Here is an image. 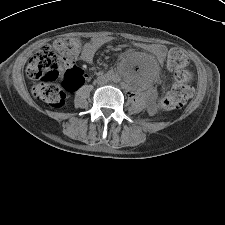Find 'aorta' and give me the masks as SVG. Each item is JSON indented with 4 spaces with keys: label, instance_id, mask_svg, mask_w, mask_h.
I'll list each match as a JSON object with an SVG mask.
<instances>
[{
    "label": "aorta",
    "instance_id": "1",
    "mask_svg": "<svg viewBox=\"0 0 225 225\" xmlns=\"http://www.w3.org/2000/svg\"><path fill=\"white\" fill-rule=\"evenodd\" d=\"M112 80H113V81H118V79H116V78H113Z\"/></svg>",
    "mask_w": 225,
    "mask_h": 225
}]
</instances>
